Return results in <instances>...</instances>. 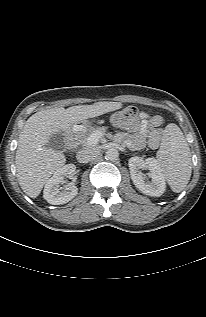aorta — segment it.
Masks as SVG:
<instances>
[{
    "label": "aorta",
    "instance_id": "1",
    "mask_svg": "<svg viewBox=\"0 0 206 317\" xmlns=\"http://www.w3.org/2000/svg\"><path fill=\"white\" fill-rule=\"evenodd\" d=\"M119 157V152L115 148H110L105 153V159L109 161H115Z\"/></svg>",
    "mask_w": 206,
    "mask_h": 317
}]
</instances>
